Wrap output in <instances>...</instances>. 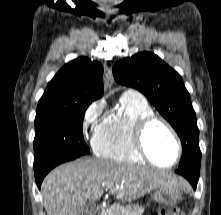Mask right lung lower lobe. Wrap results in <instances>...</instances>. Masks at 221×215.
Masks as SVG:
<instances>
[{
  "instance_id": "obj_1",
  "label": "right lung lower lobe",
  "mask_w": 221,
  "mask_h": 215,
  "mask_svg": "<svg viewBox=\"0 0 221 215\" xmlns=\"http://www.w3.org/2000/svg\"><path fill=\"white\" fill-rule=\"evenodd\" d=\"M81 156H84V155L77 154V155L61 156V157L52 159L49 162H47L41 166L35 167L34 171H35V179H36L37 187L40 189L41 183H42L44 177L51 169H53L54 167H56L57 165H59L61 163L74 160V159L81 157Z\"/></svg>"
}]
</instances>
